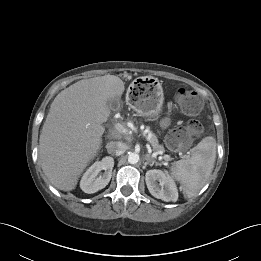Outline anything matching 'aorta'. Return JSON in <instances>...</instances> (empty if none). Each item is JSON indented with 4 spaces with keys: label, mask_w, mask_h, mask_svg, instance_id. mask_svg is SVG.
I'll use <instances>...</instances> for the list:
<instances>
[{
    "label": "aorta",
    "mask_w": 261,
    "mask_h": 261,
    "mask_svg": "<svg viewBox=\"0 0 261 261\" xmlns=\"http://www.w3.org/2000/svg\"><path fill=\"white\" fill-rule=\"evenodd\" d=\"M138 161H139V155L137 153H131L128 156V162L130 164H136V163H138Z\"/></svg>",
    "instance_id": "1"
}]
</instances>
